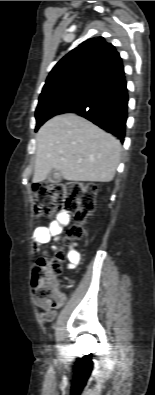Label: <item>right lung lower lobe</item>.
Masks as SVG:
<instances>
[{
  "label": "right lung lower lobe",
  "mask_w": 155,
  "mask_h": 395,
  "mask_svg": "<svg viewBox=\"0 0 155 395\" xmlns=\"http://www.w3.org/2000/svg\"><path fill=\"white\" fill-rule=\"evenodd\" d=\"M128 109L124 72L104 83L85 101L68 112L76 113L124 141Z\"/></svg>",
  "instance_id": "1"
}]
</instances>
